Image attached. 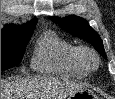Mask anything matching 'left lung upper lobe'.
Wrapping results in <instances>:
<instances>
[{
    "instance_id": "5c2ea615",
    "label": "left lung upper lobe",
    "mask_w": 115,
    "mask_h": 99,
    "mask_svg": "<svg viewBox=\"0 0 115 99\" xmlns=\"http://www.w3.org/2000/svg\"><path fill=\"white\" fill-rule=\"evenodd\" d=\"M50 19L59 24L62 29L70 32L74 36H78L82 39L90 42L94 48L104 57L106 58L105 50L103 47V42L100 39L99 35L96 31L89 26L86 20L83 18L77 17L75 15H71L65 18H59L57 16H52Z\"/></svg>"
}]
</instances>
